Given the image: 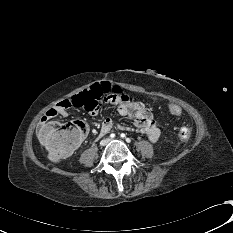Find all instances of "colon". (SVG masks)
I'll return each mask as SVG.
<instances>
[{"mask_svg": "<svg viewBox=\"0 0 233 233\" xmlns=\"http://www.w3.org/2000/svg\"><path fill=\"white\" fill-rule=\"evenodd\" d=\"M120 90L116 84L99 82L92 85L88 90L82 91L69 99L70 105L76 108H84L91 111L95 102L102 97ZM169 113L173 116H184L181 107L176 104H169ZM87 133V125L82 121H73L65 124H47L39 131V138L48 155L56 161L70 156L82 143ZM192 130L189 127H182L178 130V137L182 140L190 138Z\"/></svg>", "mask_w": 233, "mask_h": 233, "instance_id": "obj_1", "label": "colon"}]
</instances>
